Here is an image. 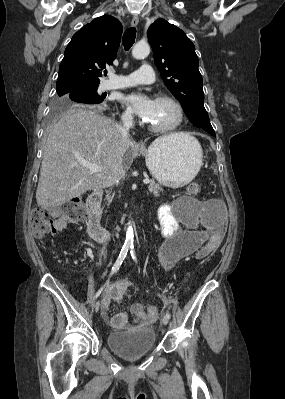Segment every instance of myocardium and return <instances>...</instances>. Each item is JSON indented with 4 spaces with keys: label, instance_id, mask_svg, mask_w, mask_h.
<instances>
[{
    "label": "myocardium",
    "instance_id": "1",
    "mask_svg": "<svg viewBox=\"0 0 285 399\" xmlns=\"http://www.w3.org/2000/svg\"><path fill=\"white\" fill-rule=\"evenodd\" d=\"M156 100L168 101V102L172 103L175 106V108L177 109L178 118L173 124L167 125V126H161V127L154 126L150 123H147L148 128L154 132H159V133H166V132L175 130L182 123V121L184 119V109H183L182 104L175 97L168 95V94H161L156 98Z\"/></svg>",
    "mask_w": 285,
    "mask_h": 399
}]
</instances>
